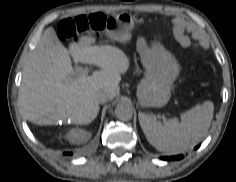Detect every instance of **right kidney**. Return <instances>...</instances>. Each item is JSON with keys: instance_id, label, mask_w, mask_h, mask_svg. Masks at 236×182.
Masks as SVG:
<instances>
[{"instance_id": "1", "label": "right kidney", "mask_w": 236, "mask_h": 182, "mask_svg": "<svg viewBox=\"0 0 236 182\" xmlns=\"http://www.w3.org/2000/svg\"><path fill=\"white\" fill-rule=\"evenodd\" d=\"M90 133L83 129H71L67 135L66 139L72 144H81L90 139Z\"/></svg>"}]
</instances>
